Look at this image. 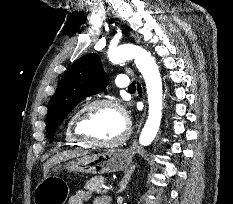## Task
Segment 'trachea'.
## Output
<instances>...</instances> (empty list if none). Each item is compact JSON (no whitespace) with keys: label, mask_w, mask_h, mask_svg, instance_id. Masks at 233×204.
Returning a JSON list of instances; mask_svg holds the SVG:
<instances>
[{"label":"trachea","mask_w":233,"mask_h":204,"mask_svg":"<svg viewBox=\"0 0 233 204\" xmlns=\"http://www.w3.org/2000/svg\"><path fill=\"white\" fill-rule=\"evenodd\" d=\"M134 89H136L135 82H133V83L128 87V90H134Z\"/></svg>","instance_id":"trachea-1"}]
</instances>
